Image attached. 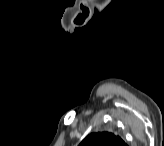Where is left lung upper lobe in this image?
<instances>
[{"mask_svg":"<svg viewBox=\"0 0 164 146\" xmlns=\"http://www.w3.org/2000/svg\"><path fill=\"white\" fill-rule=\"evenodd\" d=\"M80 146H126V143L119 135L104 131L89 134Z\"/></svg>","mask_w":164,"mask_h":146,"instance_id":"5c2ea615","label":"left lung upper lobe"}]
</instances>
